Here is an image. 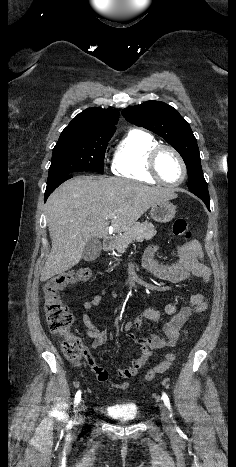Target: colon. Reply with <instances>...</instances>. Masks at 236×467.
<instances>
[{
    "mask_svg": "<svg viewBox=\"0 0 236 467\" xmlns=\"http://www.w3.org/2000/svg\"><path fill=\"white\" fill-rule=\"evenodd\" d=\"M172 228L174 234L184 241L191 240L192 232L185 219H175ZM91 274L90 268L79 267L56 274L44 285V310L49 330L63 339L62 351L75 366H80L89 354L82 339L70 331L74 317L62 301L59 292L71 284L88 280ZM174 361L175 354L168 353L161 363L147 373L146 381H150L157 374L166 372Z\"/></svg>",
    "mask_w": 236,
    "mask_h": 467,
    "instance_id": "1",
    "label": "colon"
}]
</instances>
